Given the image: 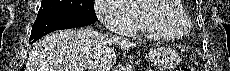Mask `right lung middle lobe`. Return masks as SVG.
I'll list each match as a JSON object with an SVG mask.
<instances>
[{"instance_id":"1","label":"right lung middle lobe","mask_w":230,"mask_h":71,"mask_svg":"<svg viewBox=\"0 0 230 71\" xmlns=\"http://www.w3.org/2000/svg\"><path fill=\"white\" fill-rule=\"evenodd\" d=\"M85 15L97 18L93 0H42L37 17Z\"/></svg>"}]
</instances>
